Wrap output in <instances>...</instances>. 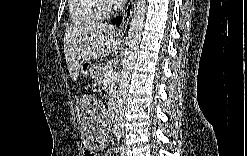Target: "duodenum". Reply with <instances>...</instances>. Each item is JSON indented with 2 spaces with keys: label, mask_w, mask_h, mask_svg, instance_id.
Here are the masks:
<instances>
[{
  "label": "duodenum",
  "mask_w": 247,
  "mask_h": 156,
  "mask_svg": "<svg viewBox=\"0 0 247 156\" xmlns=\"http://www.w3.org/2000/svg\"><path fill=\"white\" fill-rule=\"evenodd\" d=\"M109 113H110L112 118H115L116 102H115V99L113 97L109 99Z\"/></svg>",
  "instance_id": "410a0bca"
}]
</instances>
